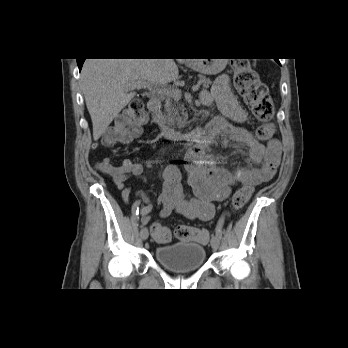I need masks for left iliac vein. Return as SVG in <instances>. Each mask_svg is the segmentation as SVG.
<instances>
[{"label": "left iliac vein", "mask_w": 348, "mask_h": 348, "mask_svg": "<svg viewBox=\"0 0 348 348\" xmlns=\"http://www.w3.org/2000/svg\"><path fill=\"white\" fill-rule=\"evenodd\" d=\"M211 246L214 250H217L220 246V238L217 235L212 236Z\"/></svg>", "instance_id": "obj_1"}]
</instances>
